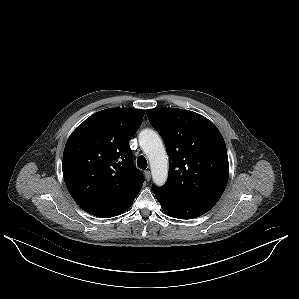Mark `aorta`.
Wrapping results in <instances>:
<instances>
[{
	"label": "aorta",
	"instance_id": "aorta-1",
	"mask_svg": "<svg viewBox=\"0 0 299 299\" xmlns=\"http://www.w3.org/2000/svg\"><path fill=\"white\" fill-rule=\"evenodd\" d=\"M139 144L149 159L154 183L164 185L168 177V160L161 137L156 131L145 129L139 134Z\"/></svg>",
	"mask_w": 299,
	"mask_h": 299
}]
</instances>
